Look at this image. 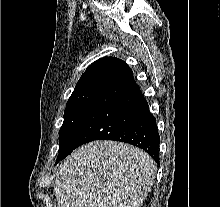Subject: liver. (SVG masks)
Wrapping results in <instances>:
<instances>
[{
  "label": "liver",
  "instance_id": "obj_1",
  "mask_svg": "<svg viewBox=\"0 0 220 207\" xmlns=\"http://www.w3.org/2000/svg\"><path fill=\"white\" fill-rule=\"evenodd\" d=\"M157 166L140 148L94 141L73 151L54 180L58 207H141Z\"/></svg>",
  "mask_w": 220,
  "mask_h": 207
}]
</instances>
